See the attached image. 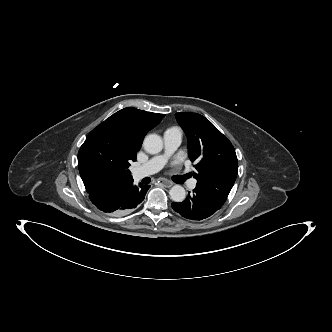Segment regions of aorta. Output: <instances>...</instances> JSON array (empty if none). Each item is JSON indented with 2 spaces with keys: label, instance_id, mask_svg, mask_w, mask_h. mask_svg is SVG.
Listing matches in <instances>:
<instances>
[{
  "label": "aorta",
  "instance_id": "762f6f07",
  "mask_svg": "<svg viewBox=\"0 0 332 332\" xmlns=\"http://www.w3.org/2000/svg\"><path fill=\"white\" fill-rule=\"evenodd\" d=\"M144 150L149 154H158L163 149L162 138L157 134H149L143 142ZM170 198L174 202H182L186 198V191L180 185H175L170 189Z\"/></svg>",
  "mask_w": 332,
  "mask_h": 332
}]
</instances>
